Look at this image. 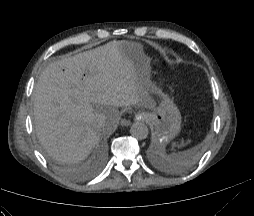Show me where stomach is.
I'll return each instance as SVG.
<instances>
[{"instance_id": "1", "label": "stomach", "mask_w": 254, "mask_h": 216, "mask_svg": "<svg viewBox=\"0 0 254 216\" xmlns=\"http://www.w3.org/2000/svg\"><path fill=\"white\" fill-rule=\"evenodd\" d=\"M119 48L128 60L132 71L138 77L146 78L149 71V59L145 56L141 47L135 43L120 41ZM147 88L149 91L161 95L162 102L152 112L143 113V116L154 126L155 138L161 144H167L180 132V112L173 101L161 89L155 87L151 82L147 85Z\"/></svg>"}]
</instances>
